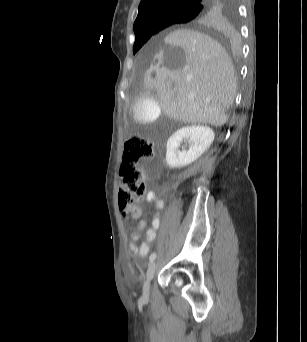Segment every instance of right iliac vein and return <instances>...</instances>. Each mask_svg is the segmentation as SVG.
<instances>
[{
  "instance_id": "63e3f726",
  "label": "right iliac vein",
  "mask_w": 307,
  "mask_h": 342,
  "mask_svg": "<svg viewBox=\"0 0 307 342\" xmlns=\"http://www.w3.org/2000/svg\"><path fill=\"white\" fill-rule=\"evenodd\" d=\"M156 272V263L151 262L148 266L147 272H146V279L144 281L143 285V296L147 298L149 296L150 292V281L152 280L154 274Z\"/></svg>"
}]
</instances>
